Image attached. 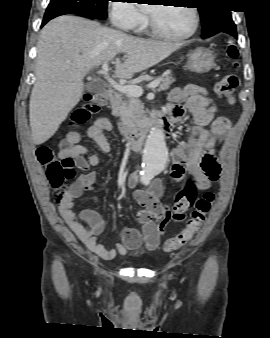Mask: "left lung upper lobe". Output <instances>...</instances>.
Masks as SVG:
<instances>
[{
    "instance_id": "left-lung-upper-lobe-1",
    "label": "left lung upper lobe",
    "mask_w": 270,
    "mask_h": 338,
    "mask_svg": "<svg viewBox=\"0 0 270 338\" xmlns=\"http://www.w3.org/2000/svg\"><path fill=\"white\" fill-rule=\"evenodd\" d=\"M202 21V38H208L234 24L231 12L226 7L227 0H199Z\"/></svg>"
}]
</instances>
